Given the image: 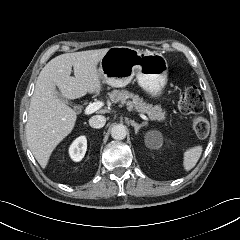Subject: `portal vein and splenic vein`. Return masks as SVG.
Instances as JSON below:
<instances>
[{
	"instance_id": "portal-vein-and-splenic-vein-1",
	"label": "portal vein and splenic vein",
	"mask_w": 240,
	"mask_h": 240,
	"mask_svg": "<svg viewBox=\"0 0 240 240\" xmlns=\"http://www.w3.org/2000/svg\"><path fill=\"white\" fill-rule=\"evenodd\" d=\"M102 106H103V103L100 101L91 103L85 108L84 113L86 115L92 114V113L96 112L97 110H99ZM140 117L146 121H149L148 117L145 116L144 114H140Z\"/></svg>"
}]
</instances>
